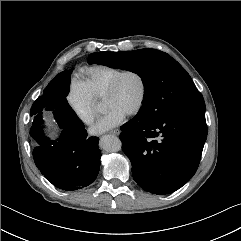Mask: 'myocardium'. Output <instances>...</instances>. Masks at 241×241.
Returning <instances> with one entry per match:
<instances>
[{
	"label": "myocardium",
	"mask_w": 241,
	"mask_h": 241,
	"mask_svg": "<svg viewBox=\"0 0 241 241\" xmlns=\"http://www.w3.org/2000/svg\"><path fill=\"white\" fill-rule=\"evenodd\" d=\"M128 74L136 75L141 84V93H140L138 102L134 106V108L130 112L127 113L128 116H134L142 110V108L145 104V101H146L147 90H148L146 78L143 75V73H141L139 70L125 69V70L120 71L108 84L107 88L104 91L103 98L112 95L116 91L121 79Z\"/></svg>",
	"instance_id": "obj_1"
}]
</instances>
